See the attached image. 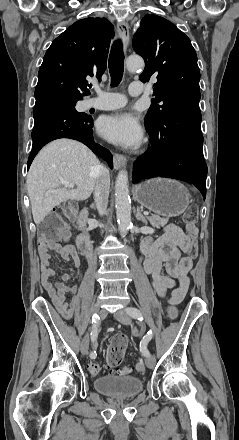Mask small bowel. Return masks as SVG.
Returning a JSON list of instances; mask_svg holds the SVG:
<instances>
[{"label":"small bowel","instance_id":"1","mask_svg":"<svg viewBox=\"0 0 239 440\" xmlns=\"http://www.w3.org/2000/svg\"><path fill=\"white\" fill-rule=\"evenodd\" d=\"M191 245V238L180 227L173 224L165 226L158 238H146L141 244L144 270L151 276L152 287L162 298H166L167 291L172 289L168 302L173 305L182 302L189 287L188 274L193 260V257L189 255ZM51 251H55L63 260L72 262L77 270L80 267L79 256L71 245L51 243L47 247H39L42 285L60 314L65 319H70L77 306V300L67 302L66 295L77 293V286L69 284L76 277L64 274L61 281L52 282L55 271L50 263ZM163 267L167 275L162 273Z\"/></svg>","mask_w":239,"mask_h":440}]
</instances>
